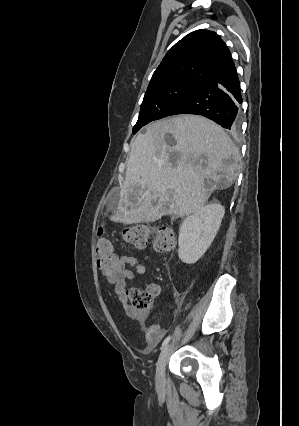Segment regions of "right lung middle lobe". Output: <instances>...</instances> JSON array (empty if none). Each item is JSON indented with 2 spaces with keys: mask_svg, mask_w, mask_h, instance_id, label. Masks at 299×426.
I'll use <instances>...</instances> for the list:
<instances>
[{
  "mask_svg": "<svg viewBox=\"0 0 299 426\" xmlns=\"http://www.w3.org/2000/svg\"><path fill=\"white\" fill-rule=\"evenodd\" d=\"M197 87L199 86L189 83L173 82L147 88L133 134L149 122L159 119L166 109Z\"/></svg>",
  "mask_w": 299,
  "mask_h": 426,
  "instance_id": "dd1d6c3e",
  "label": "right lung middle lobe"
}]
</instances>
